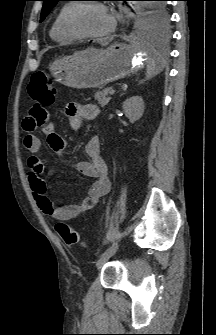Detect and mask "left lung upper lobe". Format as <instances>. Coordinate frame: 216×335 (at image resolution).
<instances>
[{"instance_id":"1","label":"left lung upper lobe","mask_w":216,"mask_h":335,"mask_svg":"<svg viewBox=\"0 0 216 335\" xmlns=\"http://www.w3.org/2000/svg\"><path fill=\"white\" fill-rule=\"evenodd\" d=\"M44 2L41 11L40 22L49 14L51 9L61 0H41ZM127 1V0H123ZM146 1L143 10L144 27L157 36H167L169 29V15L163 1L166 0H144Z\"/></svg>"}]
</instances>
